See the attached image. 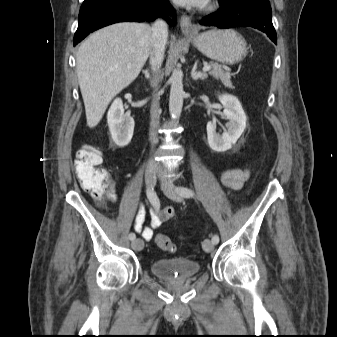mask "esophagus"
I'll return each instance as SVG.
<instances>
[{
	"instance_id": "obj_1",
	"label": "esophagus",
	"mask_w": 337,
	"mask_h": 337,
	"mask_svg": "<svg viewBox=\"0 0 337 337\" xmlns=\"http://www.w3.org/2000/svg\"><path fill=\"white\" fill-rule=\"evenodd\" d=\"M180 28L184 34L193 32V25L189 16L183 14L180 19Z\"/></svg>"
}]
</instances>
